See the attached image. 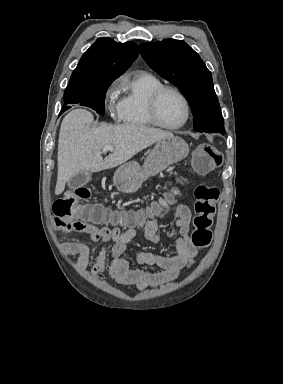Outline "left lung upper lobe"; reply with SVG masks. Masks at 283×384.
<instances>
[{"instance_id":"left-lung-upper-lobe-1","label":"left lung upper lobe","mask_w":283,"mask_h":384,"mask_svg":"<svg viewBox=\"0 0 283 384\" xmlns=\"http://www.w3.org/2000/svg\"><path fill=\"white\" fill-rule=\"evenodd\" d=\"M139 48L147 64L177 86L188 100L194 116V129L224 133L212 75L200 56L184 41L174 39L145 42Z\"/></svg>"}]
</instances>
